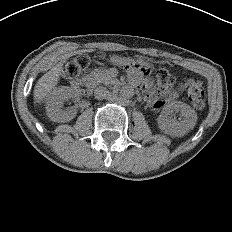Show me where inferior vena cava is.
<instances>
[{
    "label": "inferior vena cava",
    "instance_id": "inferior-vena-cava-1",
    "mask_svg": "<svg viewBox=\"0 0 232 232\" xmlns=\"http://www.w3.org/2000/svg\"><path fill=\"white\" fill-rule=\"evenodd\" d=\"M94 96L98 100L107 99L110 97V92L106 87L99 86L95 89Z\"/></svg>",
    "mask_w": 232,
    "mask_h": 232
}]
</instances>
